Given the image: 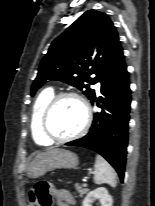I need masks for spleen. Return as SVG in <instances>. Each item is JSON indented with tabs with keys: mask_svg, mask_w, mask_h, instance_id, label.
Here are the masks:
<instances>
[{
	"mask_svg": "<svg viewBox=\"0 0 155 206\" xmlns=\"http://www.w3.org/2000/svg\"><path fill=\"white\" fill-rule=\"evenodd\" d=\"M94 182L98 185L108 184L111 187H116L117 176L111 165L100 155L96 156V162L94 165Z\"/></svg>",
	"mask_w": 155,
	"mask_h": 206,
	"instance_id": "obj_1",
	"label": "spleen"
}]
</instances>
